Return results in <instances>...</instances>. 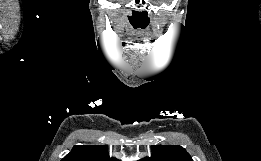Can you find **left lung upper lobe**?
Wrapping results in <instances>:
<instances>
[{
    "label": "left lung upper lobe",
    "mask_w": 261,
    "mask_h": 161,
    "mask_svg": "<svg viewBox=\"0 0 261 161\" xmlns=\"http://www.w3.org/2000/svg\"><path fill=\"white\" fill-rule=\"evenodd\" d=\"M139 161H193L186 150L178 145H167L160 148V145L153 146L152 156Z\"/></svg>",
    "instance_id": "5c2ea615"
}]
</instances>
